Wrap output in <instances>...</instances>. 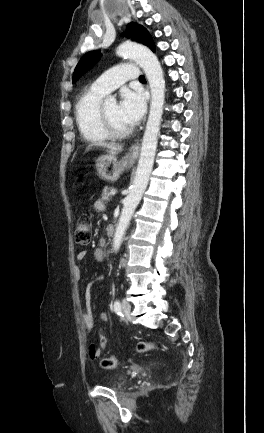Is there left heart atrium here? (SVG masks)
<instances>
[{
	"label": "left heart atrium",
	"mask_w": 264,
	"mask_h": 433,
	"mask_svg": "<svg viewBox=\"0 0 264 433\" xmlns=\"http://www.w3.org/2000/svg\"><path fill=\"white\" fill-rule=\"evenodd\" d=\"M121 118L130 126L140 122L145 110L146 102L142 93L138 91L124 90L118 105Z\"/></svg>",
	"instance_id": "left-heart-atrium-1"
}]
</instances>
